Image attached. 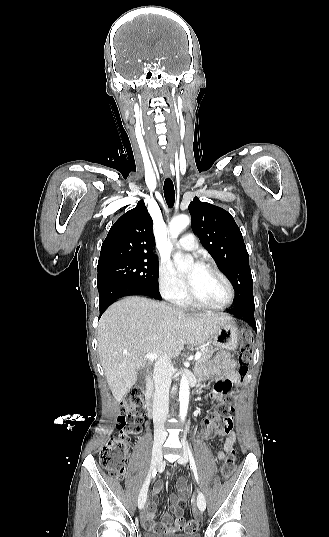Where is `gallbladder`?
Here are the masks:
<instances>
[{
    "mask_svg": "<svg viewBox=\"0 0 329 537\" xmlns=\"http://www.w3.org/2000/svg\"><path fill=\"white\" fill-rule=\"evenodd\" d=\"M145 379H146V370L141 369L137 374L135 386L140 389H143L145 387V382H146Z\"/></svg>",
    "mask_w": 329,
    "mask_h": 537,
    "instance_id": "bac80fb5",
    "label": "gallbladder"
}]
</instances>
